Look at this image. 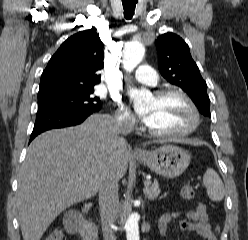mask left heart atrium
I'll return each mask as SVG.
<instances>
[{
  "mask_svg": "<svg viewBox=\"0 0 248 240\" xmlns=\"http://www.w3.org/2000/svg\"><path fill=\"white\" fill-rule=\"evenodd\" d=\"M141 119L142 121L145 123V124H148L150 122V119H151V116L147 113L143 114L141 116Z\"/></svg>",
  "mask_w": 248,
  "mask_h": 240,
  "instance_id": "obj_1",
  "label": "left heart atrium"
}]
</instances>
